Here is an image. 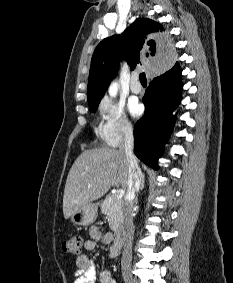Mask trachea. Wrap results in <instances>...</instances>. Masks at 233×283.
<instances>
[{"instance_id":"1","label":"trachea","mask_w":233,"mask_h":283,"mask_svg":"<svg viewBox=\"0 0 233 283\" xmlns=\"http://www.w3.org/2000/svg\"><path fill=\"white\" fill-rule=\"evenodd\" d=\"M139 79H140V82L142 84H146L147 83V79H146L145 73H141L140 76H139Z\"/></svg>"}]
</instances>
